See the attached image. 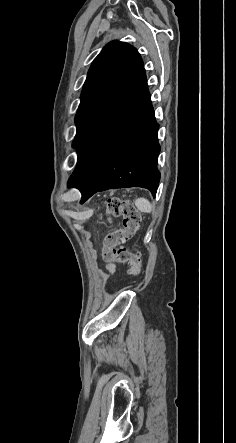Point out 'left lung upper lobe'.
Segmentation results:
<instances>
[{
    "label": "left lung upper lobe",
    "instance_id": "left-lung-upper-lobe-1",
    "mask_svg": "<svg viewBox=\"0 0 236 443\" xmlns=\"http://www.w3.org/2000/svg\"><path fill=\"white\" fill-rule=\"evenodd\" d=\"M138 51L125 42L108 43L94 59L81 93L75 123L76 147L91 125L110 108L143 70Z\"/></svg>",
    "mask_w": 236,
    "mask_h": 443
}]
</instances>
